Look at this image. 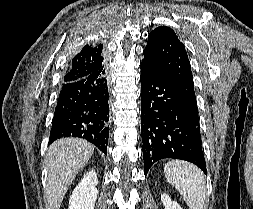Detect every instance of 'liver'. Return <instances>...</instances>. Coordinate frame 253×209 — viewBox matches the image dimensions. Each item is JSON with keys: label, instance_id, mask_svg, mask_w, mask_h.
<instances>
[{"label": "liver", "instance_id": "1", "mask_svg": "<svg viewBox=\"0 0 253 209\" xmlns=\"http://www.w3.org/2000/svg\"><path fill=\"white\" fill-rule=\"evenodd\" d=\"M94 146L80 138H62L51 144L46 156L45 196L49 209H60L76 174L89 161Z\"/></svg>", "mask_w": 253, "mask_h": 209}]
</instances>
